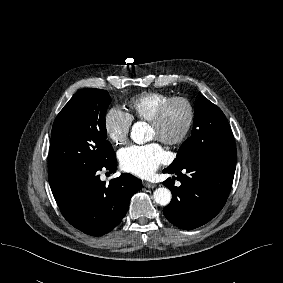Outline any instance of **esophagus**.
Instances as JSON below:
<instances>
[{
  "label": "esophagus",
  "mask_w": 283,
  "mask_h": 283,
  "mask_svg": "<svg viewBox=\"0 0 283 283\" xmlns=\"http://www.w3.org/2000/svg\"><path fill=\"white\" fill-rule=\"evenodd\" d=\"M143 185H144L146 188H154V187L156 186L154 183L147 182V181H144V182H143Z\"/></svg>",
  "instance_id": "esophagus-1"
}]
</instances>
